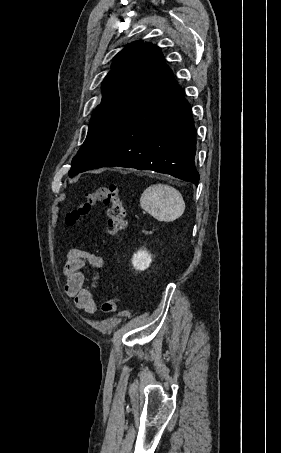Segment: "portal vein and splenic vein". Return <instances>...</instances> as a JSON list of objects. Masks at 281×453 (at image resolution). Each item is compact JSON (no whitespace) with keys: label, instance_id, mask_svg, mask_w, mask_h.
Returning <instances> with one entry per match:
<instances>
[{"label":"portal vein and splenic vein","instance_id":"18ae733b","mask_svg":"<svg viewBox=\"0 0 281 453\" xmlns=\"http://www.w3.org/2000/svg\"><path fill=\"white\" fill-rule=\"evenodd\" d=\"M145 213H147V210L142 211V215H145Z\"/></svg>","mask_w":281,"mask_h":453}]
</instances>
